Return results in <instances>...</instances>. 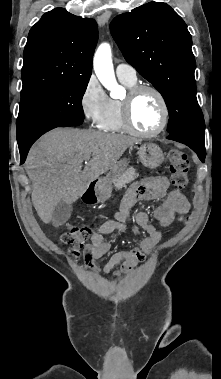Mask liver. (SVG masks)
<instances>
[{"mask_svg":"<svg viewBox=\"0 0 221 379\" xmlns=\"http://www.w3.org/2000/svg\"><path fill=\"white\" fill-rule=\"evenodd\" d=\"M136 138L94 130L57 128L32 146L26 171L32 182V203L44 223L55 206L78 200L89 184L112 169ZM91 158V159H90ZM90 161L82 170V163Z\"/></svg>","mask_w":221,"mask_h":379,"instance_id":"liver-1","label":"liver"}]
</instances>
